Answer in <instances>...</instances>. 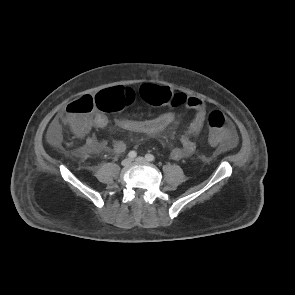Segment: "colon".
I'll return each instance as SVG.
<instances>
[{
  "mask_svg": "<svg viewBox=\"0 0 295 295\" xmlns=\"http://www.w3.org/2000/svg\"><path fill=\"white\" fill-rule=\"evenodd\" d=\"M140 95L147 103L155 106L177 107L185 104L187 100V97L182 93L153 84L142 86ZM135 96V91L127 86L111 87L99 92L94 97L83 96L67 105L64 119L75 129L95 108L103 112L119 111L127 107L135 99ZM207 124L211 144L228 143L233 140V131L222 112L217 110L210 112L207 115Z\"/></svg>",
  "mask_w": 295,
  "mask_h": 295,
  "instance_id": "5ec220e1",
  "label": "colon"
}]
</instances>
